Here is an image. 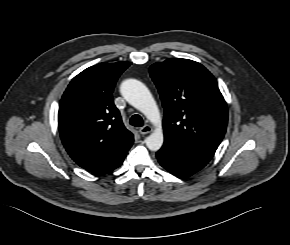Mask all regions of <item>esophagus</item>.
<instances>
[{
  "instance_id": "1",
  "label": "esophagus",
  "mask_w": 290,
  "mask_h": 245,
  "mask_svg": "<svg viewBox=\"0 0 290 245\" xmlns=\"http://www.w3.org/2000/svg\"><path fill=\"white\" fill-rule=\"evenodd\" d=\"M140 134L145 135L152 132V127L150 125H145L139 129Z\"/></svg>"
}]
</instances>
